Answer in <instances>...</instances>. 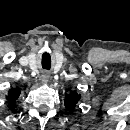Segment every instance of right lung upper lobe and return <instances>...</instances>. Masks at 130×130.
Segmentation results:
<instances>
[{"mask_svg":"<svg viewBox=\"0 0 130 130\" xmlns=\"http://www.w3.org/2000/svg\"><path fill=\"white\" fill-rule=\"evenodd\" d=\"M21 95V91L19 89L11 88L8 91L7 100L9 102L8 107L11 111H15L16 103L18 101L19 96Z\"/></svg>","mask_w":130,"mask_h":130,"instance_id":"cb5924a9","label":"right lung upper lobe"}]
</instances>
